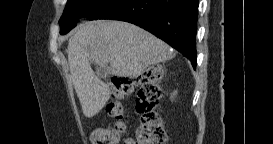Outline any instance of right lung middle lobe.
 Returning <instances> with one entry per match:
<instances>
[{"label": "right lung middle lobe", "instance_id": "dd1d6c3e", "mask_svg": "<svg viewBox=\"0 0 273 144\" xmlns=\"http://www.w3.org/2000/svg\"><path fill=\"white\" fill-rule=\"evenodd\" d=\"M110 0H68L59 24L61 34H65L76 26L78 19L90 17L101 6Z\"/></svg>", "mask_w": 273, "mask_h": 144}]
</instances>
